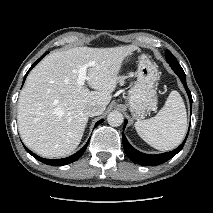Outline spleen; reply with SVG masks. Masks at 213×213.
Segmentation results:
<instances>
[{
    "mask_svg": "<svg viewBox=\"0 0 213 213\" xmlns=\"http://www.w3.org/2000/svg\"><path fill=\"white\" fill-rule=\"evenodd\" d=\"M138 135L161 151L172 150L183 140L187 130L186 108L182 97L172 91L155 117L135 123Z\"/></svg>",
    "mask_w": 213,
    "mask_h": 213,
    "instance_id": "spleen-1",
    "label": "spleen"
}]
</instances>
